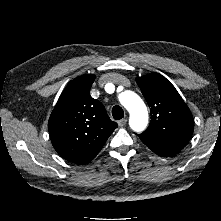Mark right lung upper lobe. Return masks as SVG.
Returning a JSON list of instances; mask_svg holds the SVG:
<instances>
[{"instance_id": "cb5924a9", "label": "right lung upper lobe", "mask_w": 221, "mask_h": 221, "mask_svg": "<svg viewBox=\"0 0 221 221\" xmlns=\"http://www.w3.org/2000/svg\"><path fill=\"white\" fill-rule=\"evenodd\" d=\"M94 75L72 80L51 113V142L64 159L86 164L102 149L118 124L110 120L101 102L90 96Z\"/></svg>"}]
</instances>
